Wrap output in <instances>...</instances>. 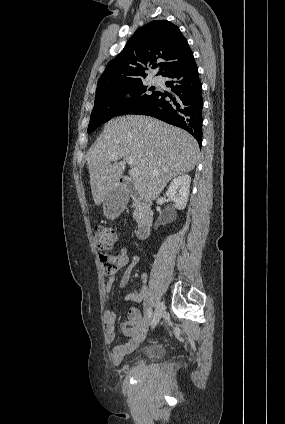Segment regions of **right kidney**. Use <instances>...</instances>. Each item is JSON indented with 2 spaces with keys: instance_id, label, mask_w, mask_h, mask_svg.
Instances as JSON below:
<instances>
[{
  "instance_id": "ca27d5eb",
  "label": "right kidney",
  "mask_w": 285,
  "mask_h": 424,
  "mask_svg": "<svg viewBox=\"0 0 285 424\" xmlns=\"http://www.w3.org/2000/svg\"><path fill=\"white\" fill-rule=\"evenodd\" d=\"M191 178L187 174L175 178L166 192L168 198L174 202V207L183 210L188 202Z\"/></svg>"
}]
</instances>
